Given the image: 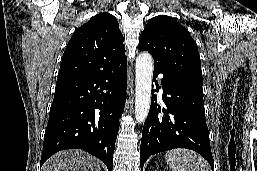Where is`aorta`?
<instances>
[{
	"instance_id": "762f6f07",
	"label": "aorta",
	"mask_w": 257,
	"mask_h": 171,
	"mask_svg": "<svg viewBox=\"0 0 257 171\" xmlns=\"http://www.w3.org/2000/svg\"><path fill=\"white\" fill-rule=\"evenodd\" d=\"M153 76L152 56L143 52L136 58L135 118L143 123L149 113Z\"/></svg>"
}]
</instances>
